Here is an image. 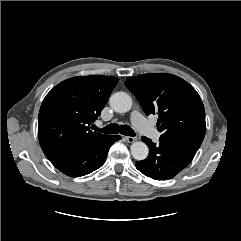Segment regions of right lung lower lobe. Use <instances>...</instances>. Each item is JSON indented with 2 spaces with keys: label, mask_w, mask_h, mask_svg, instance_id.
I'll use <instances>...</instances> for the list:
<instances>
[{
  "label": "right lung lower lobe",
  "mask_w": 241,
  "mask_h": 241,
  "mask_svg": "<svg viewBox=\"0 0 241 241\" xmlns=\"http://www.w3.org/2000/svg\"><path fill=\"white\" fill-rule=\"evenodd\" d=\"M119 139L118 135H106L90 144L59 151L48 159L68 176H84L104 164L109 148Z\"/></svg>",
  "instance_id": "1"
}]
</instances>
